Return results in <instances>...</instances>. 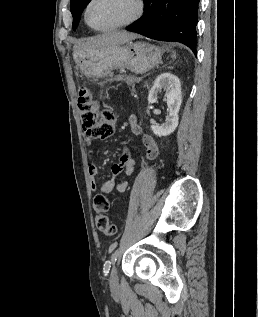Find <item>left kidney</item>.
<instances>
[{
    "mask_svg": "<svg viewBox=\"0 0 258 317\" xmlns=\"http://www.w3.org/2000/svg\"><path fill=\"white\" fill-rule=\"evenodd\" d=\"M161 88L168 90L166 100L169 114L166 116V122H163L161 126L151 124V130H153L154 134H157V136H167V134L174 132L176 126H178V112L182 102L181 82L176 74L162 72V74H159L156 80H154L153 86H151L149 90L148 104L156 102L157 92H160ZM146 112L147 114H150L149 108H147Z\"/></svg>",
    "mask_w": 258,
    "mask_h": 317,
    "instance_id": "5707ae66",
    "label": "left kidney"
}]
</instances>
